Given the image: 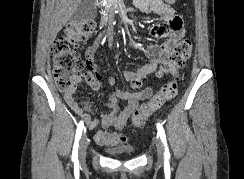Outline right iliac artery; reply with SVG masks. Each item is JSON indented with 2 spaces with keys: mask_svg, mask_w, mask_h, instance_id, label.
Listing matches in <instances>:
<instances>
[{
  "mask_svg": "<svg viewBox=\"0 0 244 179\" xmlns=\"http://www.w3.org/2000/svg\"><path fill=\"white\" fill-rule=\"evenodd\" d=\"M83 128H84V123H83V121H80L78 126H77L76 135H75V142H74V146H73V152H72V160L73 161L78 160L79 140L81 138Z\"/></svg>",
  "mask_w": 244,
  "mask_h": 179,
  "instance_id": "1",
  "label": "right iliac artery"
}]
</instances>
